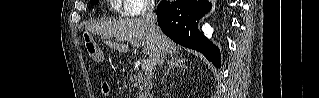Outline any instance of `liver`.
I'll return each instance as SVG.
<instances>
[{"label":"liver","instance_id":"liver-1","mask_svg":"<svg viewBox=\"0 0 319 98\" xmlns=\"http://www.w3.org/2000/svg\"><path fill=\"white\" fill-rule=\"evenodd\" d=\"M89 31L97 34L105 39L110 37H119V41L135 40L140 42L142 51L149 56L153 65H159L160 52L162 50L167 54H174L177 50V45L170 38L165 36L160 30L152 34L147 29L142 18L121 19V20H106L87 27ZM114 50L119 52H127L126 45L117 44L114 42H107Z\"/></svg>","mask_w":319,"mask_h":98}]
</instances>
